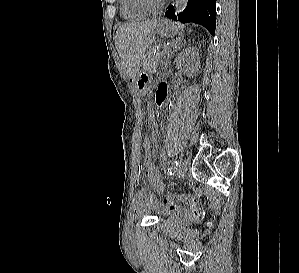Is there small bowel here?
Listing matches in <instances>:
<instances>
[{"instance_id": "1", "label": "small bowel", "mask_w": 299, "mask_h": 273, "mask_svg": "<svg viewBox=\"0 0 299 273\" xmlns=\"http://www.w3.org/2000/svg\"><path fill=\"white\" fill-rule=\"evenodd\" d=\"M156 104L159 108H164L167 104V85L161 83L156 93ZM144 162H145V176L148 178L151 187L159 194L164 191V184L159 172V164L153 158L152 146L144 147ZM140 174V172H139ZM152 206L162 214H173L177 217L187 216V212L178 208L175 204L171 207L165 206L163 203L158 202L155 197L145 190H140L135 198V207L137 211L145 207Z\"/></svg>"}]
</instances>
